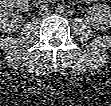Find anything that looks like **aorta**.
Listing matches in <instances>:
<instances>
[{"label": "aorta", "instance_id": "obj_1", "mask_svg": "<svg viewBox=\"0 0 111 106\" xmlns=\"http://www.w3.org/2000/svg\"><path fill=\"white\" fill-rule=\"evenodd\" d=\"M55 11L58 13H62L63 12V6L62 5H57L55 8Z\"/></svg>", "mask_w": 111, "mask_h": 106}]
</instances>
